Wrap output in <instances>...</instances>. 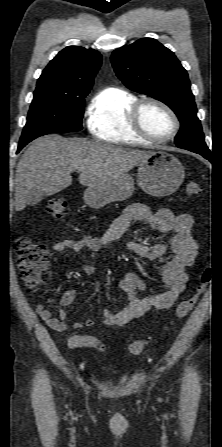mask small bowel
Returning a JSON list of instances; mask_svg holds the SVG:
<instances>
[{
    "mask_svg": "<svg viewBox=\"0 0 222 447\" xmlns=\"http://www.w3.org/2000/svg\"><path fill=\"white\" fill-rule=\"evenodd\" d=\"M132 221H143L152 229L171 235L167 242L152 246L139 242H129L127 243V249L131 253L143 259L155 260L162 257L169 249L175 254V257L162 267L161 280L164 290L154 295L140 298L138 294L143 290L142 278L134 272H128L124 275L119 281V288L127 299L125 307L118 312H112L109 309L102 310L103 324L110 327H123L133 319L144 317L150 310H166L174 305L186 287L188 281L187 270L194 265L198 256V245L191 234L194 224L193 217L188 213L175 214L166 207L153 211L148 205L138 202L128 206L101 239L93 237L65 238L52 245V250L56 253L65 251L82 252L88 249L90 257L94 258L107 245L120 238L128 230ZM83 271L88 277L96 275V268L92 262L85 263ZM76 297L77 291L68 289L60 294L58 301L60 305L65 307L71 305ZM35 311L51 329L59 332L67 331L70 327L80 329L84 326L92 327L95 324L93 320L89 319L84 323L76 322L70 325L67 322L68 313L65 309H61L58 316L54 317L40 303L35 306ZM96 340L89 335H74L69 339V346L71 348L83 346L94 348Z\"/></svg>",
    "mask_w": 222,
    "mask_h": 447,
    "instance_id": "obj_1",
    "label": "small bowel"
}]
</instances>
